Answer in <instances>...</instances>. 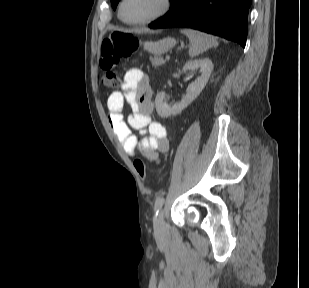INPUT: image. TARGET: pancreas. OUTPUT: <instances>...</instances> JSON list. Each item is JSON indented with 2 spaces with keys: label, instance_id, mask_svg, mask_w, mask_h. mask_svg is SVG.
<instances>
[{
  "label": "pancreas",
  "instance_id": "cf45deb5",
  "mask_svg": "<svg viewBox=\"0 0 309 288\" xmlns=\"http://www.w3.org/2000/svg\"><path fill=\"white\" fill-rule=\"evenodd\" d=\"M152 66L158 67L165 63V60L161 56H156L154 58H150Z\"/></svg>",
  "mask_w": 309,
  "mask_h": 288
}]
</instances>
